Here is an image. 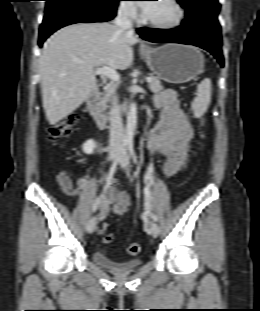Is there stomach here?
<instances>
[{
    "label": "stomach",
    "instance_id": "stomach-1",
    "mask_svg": "<svg viewBox=\"0 0 260 311\" xmlns=\"http://www.w3.org/2000/svg\"><path fill=\"white\" fill-rule=\"evenodd\" d=\"M141 54L150 70L170 83L188 82L204 70V56L193 46L165 44L141 50Z\"/></svg>",
    "mask_w": 260,
    "mask_h": 311
}]
</instances>
